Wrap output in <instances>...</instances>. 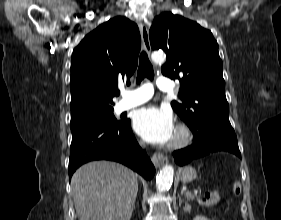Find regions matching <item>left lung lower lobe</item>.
<instances>
[{
	"label": "left lung lower lobe",
	"instance_id": "left-lung-lower-lobe-1",
	"mask_svg": "<svg viewBox=\"0 0 281 220\" xmlns=\"http://www.w3.org/2000/svg\"><path fill=\"white\" fill-rule=\"evenodd\" d=\"M191 131L194 135V143L173 153L178 165H185L217 151H226L241 157L237 137L230 122L206 121Z\"/></svg>",
	"mask_w": 281,
	"mask_h": 220
}]
</instances>
